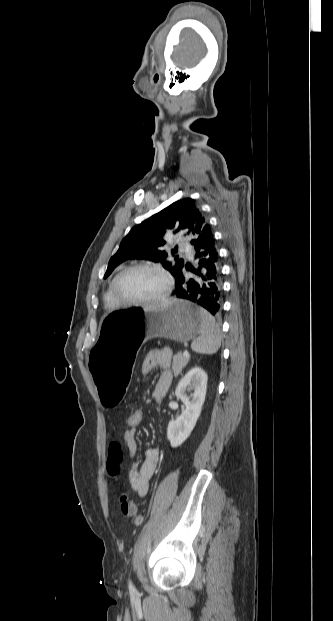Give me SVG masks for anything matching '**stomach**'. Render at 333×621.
<instances>
[{
  "label": "stomach",
  "mask_w": 333,
  "mask_h": 621,
  "mask_svg": "<svg viewBox=\"0 0 333 621\" xmlns=\"http://www.w3.org/2000/svg\"><path fill=\"white\" fill-rule=\"evenodd\" d=\"M200 327V309L184 300L106 313L101 333L90 347L91 378L102 408L110 413L117 410L130 387L141 343L156 337L186 343L197 336Z\"/></svg>",
  "instance_id": "stomach-1"
}]
</instances>
